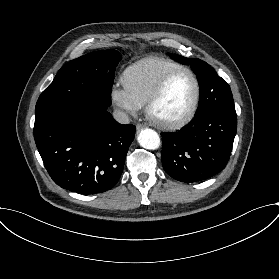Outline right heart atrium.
Here are the masks:
<instances>
[{"instance_id": "1", "label": "right heart atrium", "mask_w": 279, "mask_h": 279, "mask_svg": "<svg viewBox=\"0 0 279 279\" xmlns=\"http://www.w3.org/2000/svg\"><path fill=\"white\" fill-rule=\"evenodd\" d=\"M110 98L114 105L131 116L139 113L146 104V102L129 89L125 83L114 84L110 90Z\"/></svg>"}]
</instances>
